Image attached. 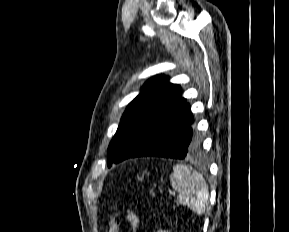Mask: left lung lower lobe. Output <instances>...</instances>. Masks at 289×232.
<instances>
[{"label":"left lung lower lobe","mask_w":289,"mask_h":232,"mask_svg":"<svg viewBox=\"0 0 289 232\" xmlns=\"http://www.w3.org/2000/svg\"><path fill=\"white\" fill-rule=\"evenodd\" d=\"M192 123L193 116L186 101L172 121L127 158L160 156L184 159L194 155L200 148L201 138Z\"/></svg>","instance_id":"0a47b994"}]
</instances>
